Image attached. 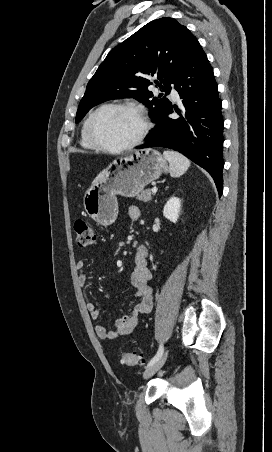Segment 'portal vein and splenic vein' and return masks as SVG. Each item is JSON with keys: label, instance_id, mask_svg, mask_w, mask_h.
Wrapping results in <instances>:
<instances>
[{"label": "portal vein and splenic vein", "instance_id": "1", "mask_svg": "<svg viewBox=\"0 0 272 452\" xmlns=\"http://www.w3.org/2000/svg\"><path fill=\"white\" fill-rule=\"evenodd\" d=\"M157 190H158L157 187H153L152 188V193L155 194L157 192Z\"/></svg>", "mask_w": 272, "mask_h": 452}]
</instances>
